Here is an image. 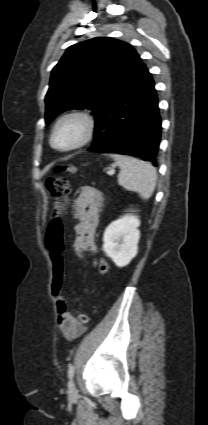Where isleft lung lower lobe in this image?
Listing matches in <instances>:
<instances>
[{
	"instance_id": "1",
	"label": "left lung lower lobe",
	"mask_w": 208,
	"mask_h": 425,
	"mask_svg": "<svg viewBox=\"0 0 208 425\" xmlns=\"http://www.w3.org/2000/svg\"><path fill=\"white\" fill-rule=\"evenodd\" d=\"M161 118L154 81L145 64L106 104L95 122L90 151L138 156L157 166Z\"/></svg>"
}]
</instances>
